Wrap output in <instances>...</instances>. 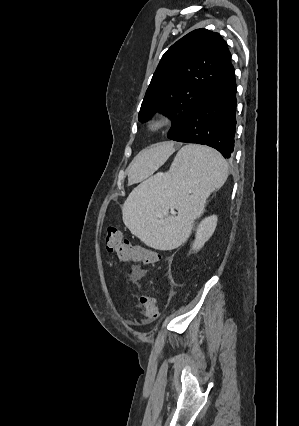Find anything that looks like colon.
<instances>
[{
	"label": "colon",
	"mask_w": 299,
	"mask_h": 426,
	"mask_svg": "<svg viewBox=\"0 0 299 426\" xmlns=\"http://www.w3.org/2000/svg\"><path fill=\"white\" fill-rule=\"evenodd\" d=\"M105 248L108 252L116 253L123 262H137L145 265L159 261L160 254L142 245L132 244L123 233L115 226L107 228ZM140 306L142 315L147 322H152L158 317V307L153 295H141Z\"/></svg>",
	"instance_id": "1"
}]
</instances>
